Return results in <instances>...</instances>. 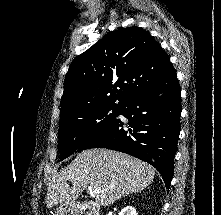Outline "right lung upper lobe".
<instances>
[{
	"mask_svg": "<svg viewBox=\"0 0 221 215\" xmlns=\"http://www.w3.org/2000/svg\"><path fill=\"white\" fill-rule=\"evenodd\" d=\"M172 70L169 57L147 31L133 26L110 32L71 63L61 119L97 107L119 108Z\"/></svg>",
	"mask_w": 221,
	"mask_h": 215,
	"instance_id": "1",
	"label": "right lung upper lobe"
}]
</instances>
